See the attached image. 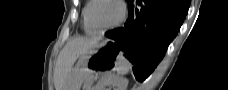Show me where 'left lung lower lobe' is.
Masks as SVG:
<instances>
[{"instance_id": "obj_1", "label": "left lung lower lobe", "mask_w": 228, "mask_h": 90, "mask_svg": "<svg viewBox=\"0 0 228 90\" xmlns=\"http://www.w3.org/2000/svg\"><path fill=\"white\" fill-rule=\"evenodd\" d=\"M124 27L105 36L118 42L138 81L145 80L160 62L187 14L188 0H128Z\"/></svg>"}]
</instances>
